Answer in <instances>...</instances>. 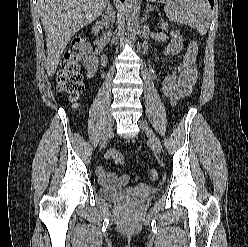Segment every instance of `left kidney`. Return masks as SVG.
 Here are the masks:
<instances>
[{
  "label": "left kidney",
  "instance_id": "1",
  "mask_svg": "<svg viewBox=\"0 0 248 247\" xmlns=\"http://www.w3.org/2000/svg\"><path fill=\"white\" fill-rule=\"evenodd\" d=\"M167 23H161L162 28H166ZM171 43L167 46V49L164 51V55H176L179 54L183 47V39L178 30H172L170 32Z\"/></svg>",
  "mask_w": 248,
  "mask_h": 247
}]
</instances>
